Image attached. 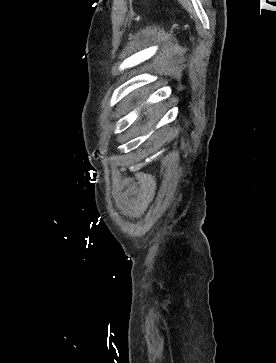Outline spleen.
<instances>
[{
  "label": "spleen",
  "mask_w": 276,
  "mask_h": 363,
  "mask_svg": "<svg viewBox=\"0 0 276 363\" xmlns=\"http://www.w3.org/2000/svg\"><path fill=\"white\" fill-rule=\"evenodd\" d=\"M159 109H160L159 105L155 107V111H156L155 119L156 120L160 119Z\"/></svg>",
  "instance_id": "3e777b00"
}]
</instances>
